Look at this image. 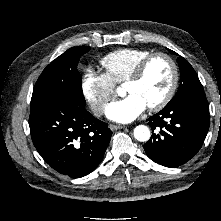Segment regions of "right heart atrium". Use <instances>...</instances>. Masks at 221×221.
Segmentation results:
<instances>
[{
    "label": "right heart atrium",
    "mask_w": 221,
    "mask_h": 221,
    "mask_svg": "<svg viewBox=\"0 0 221 221\" xmlns=\"http://www.w3.org/2000/svg\"><path fill=\"white\" fill-rule=\"evenodd\" d=\"M82 93L91 107L98 115H103L107 104L115 96V83L105 73H96L86 70L81 83Z\"/></svg>",
    "instance_id": "1"
}]
</instances>
